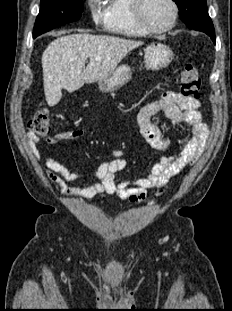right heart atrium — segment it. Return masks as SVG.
I'll return each instance as SVG.
<instances>
[{
    "instance_id": "right-heart-atrium-1",
    "label": "right heart atrium",
    "mask_w": 232,
    "mask_h": 311,
    "mask_svg": "<svg viewBox=\"0 0 232 311\" xmlns=\"http://www.w3.org/2000/svg\"><path fill=\"white\" fill-rule=\"evenodd\" d=\"M99 2L100 0H87L92 18L97 24L104 22V14L98 8Z\"/></svg>"
}]
</instances>
